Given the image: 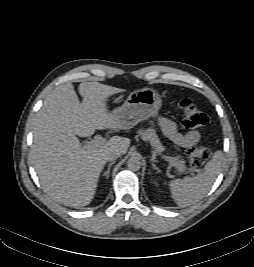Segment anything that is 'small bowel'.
<instances>
[{"mask_svg":"<svg viewBox=\"0 0 254 267\" xmlns=\"http://www.w3.org/2000/svg\"><path fill=\"white\" fill-rule=\"evenodd\" d=\"M158 121L165 135L175 144L181 147H192L200 140V134L198 131L191 130L186 133H180L177 130L175 123L171 120L164 117H160L158 118Z\"/></svg>","mask_w":254,"mask_h":267,"instance_id":"obj_1","label":"small bowel"}]
</instances>
